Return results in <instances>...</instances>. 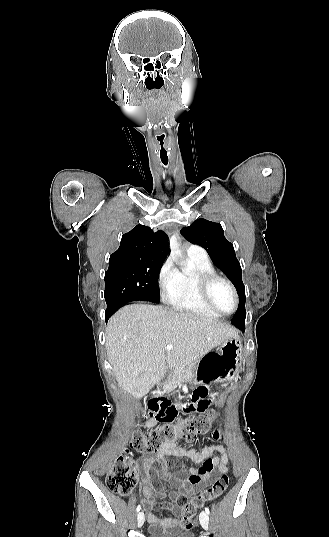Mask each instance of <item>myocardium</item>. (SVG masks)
<instances>
[{
	"instance_id": "obj_1",
	"label": "myocardium",
	"mask_w": 329,
	"mask_h": 537,
	"mask_svg": "<svg viewBox=\"0 0 329 537\" xmlns=\"http://www.w3.org/2000/svg\"><path fill=\"white\" fill-rule=\"evenodd\" d=\"M197 284L198 288L201 294L202 299L206 303V305L211 308L213 311H215L219 315H231L234 312H236L238 305H239V296L238 293L234 287V285L225 277L217 274L216 272H198L196 274ZM223 283L225 284L232 292L234 297V308L231 312H223L221 311L213 302L211 297V290L212 287L216 283Z\"/></svg>"
}]
</instances>
